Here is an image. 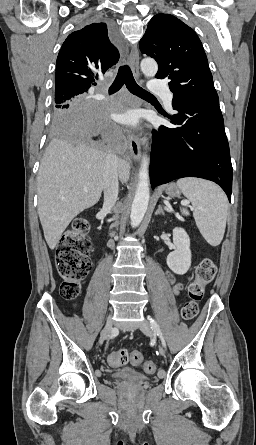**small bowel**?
Segmentation results:
<instances>
[{"label":"small bowel","instance_id":"c3829d8e","mask_svg":"<svg viewBox=\"0 0 256 445\" xmlns=\"http://www.w3.org/2000/svg\"><path fill=\"white\" fill-rule=\"evenodd\" d=\"M166 275H167V278H168V282H169V284L172 287L173 292L178 294L182 290V288H183V283L182 282H178L175 279V276L171 272H169V271L166 273Z\"/></svg>","mask_w":256,"mask_h":445}]
</instances>
